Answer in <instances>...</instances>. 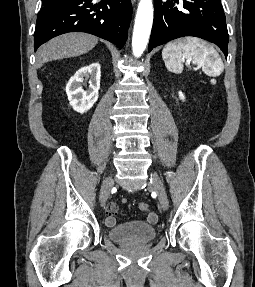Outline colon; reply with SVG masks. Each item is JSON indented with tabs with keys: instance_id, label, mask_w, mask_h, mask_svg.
Returning <instances> with one entry per match:
<instances>
[{
	"instance_id": "1",
	"label": "colon",
	"mask_w": 255,
	"mask_h": 287,
	"mask_svg": "<svg viewBox=\"0 0 255 287\" xmlns=\"http://www.w3.org/2000/svg\"><path fill=\"white\" fill-rule=\"evenodd\" d=\"M139 209L141 211H144V212H147V213H150L151 210H150V206L149 204H147L146 202H141L139 203Z\"/></svg>"
}]
</instances>
